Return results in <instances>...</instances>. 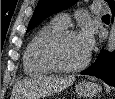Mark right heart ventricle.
<instances>
[{"label": "right heart ventricle", "instance_id": "e07e8e85", "mask_svg": "<svg viewBox=\"0 0 115 99\" xmlns=\"http://www.w3.org/2000/svg\"><path fill=\"white\" fill-rule=\"evenodd\" d=\"M64 27L52 21L42 26L28 42L23 54L24 72L32 77L44 76L54 70L45 62L42 47L45 41Z\"/></svg>", "mask_w": 115, "mask_h": 99}]
</instances>
